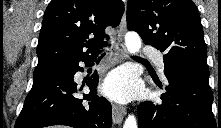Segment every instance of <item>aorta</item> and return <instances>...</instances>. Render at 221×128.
Masks as SVG:
<instances>
[{
  "label": "aorta",
  "instance_id": "762f6f07",
  "mask_svg": "<svg viewBox=\"0 0 221 128\" xmlns=\"http://www.w3.org/2000/svg\"><path fill=\"white\" fill-rule=\"evenodd\" d=\"M125 45L131 54H136L141 49V38L136 32H128L125 35ZM123 128H137V121L133 114L128 115Z\"/></svg>",
  "mask_w": 221,
  "mask_h": 128
}]
</instances>
